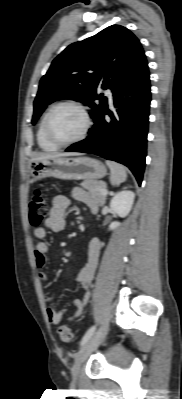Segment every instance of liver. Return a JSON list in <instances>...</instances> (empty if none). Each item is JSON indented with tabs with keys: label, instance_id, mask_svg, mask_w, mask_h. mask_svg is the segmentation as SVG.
<instances>
[{
	"label": "liver",
	"instance_id": "obj_1",
	"mask_svg": "<svg viewBox=\"0 0 182 399\" xmlns=\"http://www.w3.org/2000/svg\"><path fill=\"white\" fill-rule=\"evenodd\" d=\"M75 155H78V154H76V153H68V154H65V153L44 154V155H41V156H39V157L33 158L32 161L44 160V159H48V158H57V157H63V156H75Z\"/></svg>",
	"mask_w": 182,
	"mask_h": 399
}]
</instances>
